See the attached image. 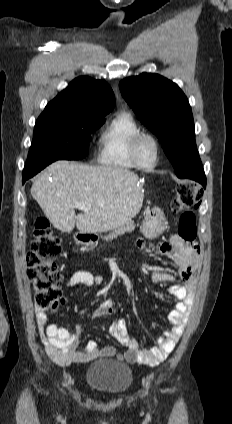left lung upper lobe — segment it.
Wrapping results in <instances>:
<instances>
[{"label":"left lung upper lobe","mask_w":232,"mask_h":424,"mask_svg":"<svg viewBox=\"0 0 232 424\" xmlns=\"http://www.w3.org/2000/svg\"><path fill=\"white\" fill-rule=\"evenodd\" d=\"M119 87L138 119L161 141L179 178L202 165L191 107L175 83L158 74L142 73L123 79Z\"/></svg>","instance_id":"5c2ea615"}]
</instances>
